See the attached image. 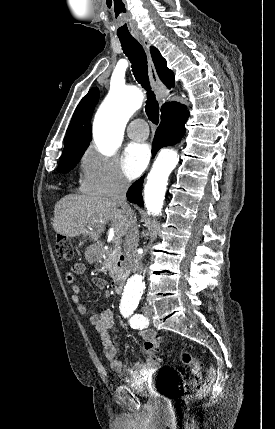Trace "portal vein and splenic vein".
I'll list each match as a JSON object with an SVG mask.
<instances>
[{"label": "portal vein and splenic vein", "mask_w": 275, "mask_h": 429, "mask_svg": "<svg viewBox=\"0 0 275 429\" xmlns=\"http://www.w3.org/2000/svg\"><path fill=\"white\" fill-rule=\"evenodd\" d=\"M113 242L115 243V245H119L121 241L119 237H115L113 238Z\"/></svg>", "instance_id": "portal-vein-and-splenic-vein-1"}]
</instances>
